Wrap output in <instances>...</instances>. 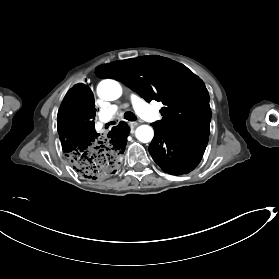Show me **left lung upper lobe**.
I'll return each instance as SVG.
<instances>
[{
    "instance_id": "1",
    "label": "left lung upper lobe",
    "mask_w": 279,
    "mask_h": 279,
    "mask_svg": "<svg viewBox=\"0 0 279 279\" xmlns=\"http://www.w3.org/2000/svg\"><path fill=\"white\" fill-rule=\"evenodd\" d=\"M95 73L123 82L147 102L161 101L163 118L153 127L208 138L211 110L207 89L183 64L157 55L141 56L98 66Z\"/></svg>"
}]
</instances>
